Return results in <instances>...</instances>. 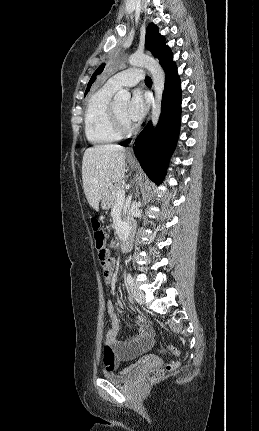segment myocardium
I'll return each instance as SVG.
<instances>
[{
	"instance_id": "1",
	"label": "myocardium",
	"mask_w": 259,
	"mask_h": 431,
	"mask_svg": "<svg viewBox=\"0 0 259 431\" xmlns=\"http://www.w3.org/2000/svg\"><path fill=\"white\" fill-rule=\"evenodd\" d=\"M110 120H111L113 129L120 136L131 134L135 130L134 126L126 125L122 122L113 104H111L110 106Z\"/></svg>"
}]
</instances>
